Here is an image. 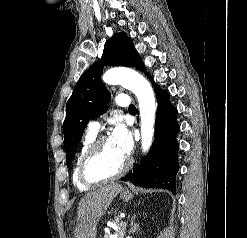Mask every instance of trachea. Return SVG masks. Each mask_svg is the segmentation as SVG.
I'll return each mask as SVG.
<instances>
[{
  "label": "trachea",
  "mask_w": 247,
  "mask_h": 238,
  "mask_svg": "<svg viewBox=\"0 0 247 238\" xmlns=\"http://www.w3.org/2000/svg\"><path fill=\"white\" fill-rule=\"evenodd\" d=\"M129 110H136V107L134 105H130Z\"/></svg>",
  "instance_id": "3493384b"
}]
</instances>
